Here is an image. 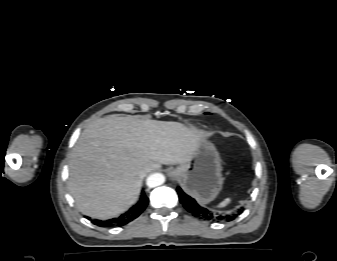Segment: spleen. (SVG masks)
<instances>
[{"instance_id": "obj_1", "label": "spleen", "mask_w": 337, "mask_h": 261, "mask_svg": "<svg viewBox=\"0 0 337 261\" xmlns=\"http://www.w3.org/2000/svg\"><path fill=\"white\" fill-rule=\"evenodd\" d=\"M229 202H230V198H226L223 202H221L219 204V206L223 207V206L227 205Z\"/></svg>"}]
</instances>
